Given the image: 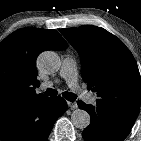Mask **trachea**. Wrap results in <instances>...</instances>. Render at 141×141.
Here are the masks:
<instances>
[{
  "label": "trachea",
  "mask_w": 141,
  "mask_h": 141,
  "mask_svg": "<svg viewBox=\"0 0 141 141\" xmlns=\"http://www.w3.org/2000/svg\"><path fill=\"white\" fill-rule=\"evenodd\" d=\"M57 93H58L57 90L52 88H47V90L44 92L46 96H56ZM63 97L68 101H74L77 98V96L74 93L68 91L63 93Z\"/></svg>",
  "instance_id": "obj_1"
}]
</instances>
